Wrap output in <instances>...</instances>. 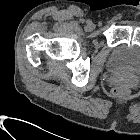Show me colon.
Here are the masks:
<instances>
[{
  "instance_id": "obj_1",
  "label": "colon",
  "mask_w": 140,
  "mask_h": 140,
  "mask_svg": "<svg viewBox=\"0 0 140 140\" xmlns=\"http://www.w3.org/2000/svg\"><path fill=\"white\" fill-rule=\"evenodd\" d=\"M130 94V89L125 85H118L112 89V95L116 98H126Z\"/></svg>"
}]
</instances>
